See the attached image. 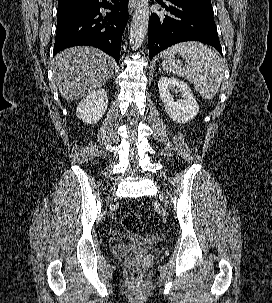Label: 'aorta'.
<instances>
[{"label": "aorta", "instance_id": "1", "mask_svg": "<svg viewBox=\"0 0 272 303\" xmlns=\"http://www.w3.org/2000/svg\"><path fill=\"white\" fill-rule=\"evenodd\" d=\"M149 0H139L130 24L129 45L137 50L143 44L149 23Z\"/></svg>", "mask_w": 272, "mask_h": 303}]
</instances>
